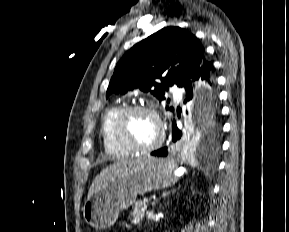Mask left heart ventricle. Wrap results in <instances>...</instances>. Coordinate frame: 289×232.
<instances>
[{
	"label": "left heart ventricle",
	"mask_w": 289,
	"mask_h": 232,
	"mask_svg": "<svg viewBox=\"0 0 289 232\" xmlns=\"http://www.w3.org/2000/svg\"><path fill=\"white\" fill-rule=\"evenodd\" d=\"M128 138L139 146L153 144L159 136V127L156 120L147 113H134L126 122Z\"/></svg>",
	"instance_id": "obj_1"
}]
</instances>
